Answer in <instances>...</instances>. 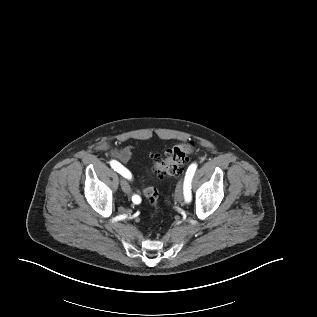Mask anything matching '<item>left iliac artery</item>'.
<instances>
[{"label":"left iliac artery","mask_w":317,"mask_h":317,"mask_svg":"<svg viewBox=\"0 0 317 317\" xmlns=\"http://www.w3.org/2000/svg\"><path fill=\"white\" fill-rule=\"evenodd\" d=\"M197 168V164L196 163H192L186 172L185 175V180H184V196L186 198V201H190L191 200V180L192 177L196 171Z\"/></svg>","instance_id":"1"}]
</instances>
